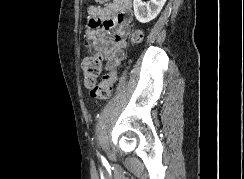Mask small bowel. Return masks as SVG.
<instances>
[{
  "label": "small bowel",
  "mask_w": 244,
  "mask_h": 179,
  "mask_svg": "<svg viewBox=\"0 0 244 179\" xmlns=\"http://www.w3.org/2000/svg\"><path fill=\"white\" fill-rule=\"evenodd\" d=\"M129 11L127 0L89 9L85 40L90 49L102 53L107 70L114 68L123 58L126 38L130 33Z\"/></svg>",
  "instance_id": "1"
}]
</instances>
